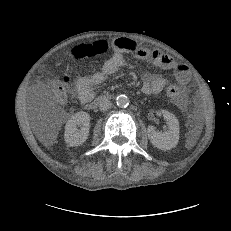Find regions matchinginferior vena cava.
Here are the masks:
<instances>
[{
	"label": "inferior vena cava",
	"mask_w": 231,
	"mask_h": 231,
	"mask_svg": "<svg viewBox=\"0 0 231 231\" xmlns=\"http://www.w3.org/2000/svg\"><path fill=\"white\" fill-rule=\"evenodd\" d=\"M98 105H99V109H100L101 111H107L108 109L111 108L112 103H111V101H109V100L106 99V98H100V99L98 100Z\"/></svg>",
	"instance_id": "1"
}]
</instances>
